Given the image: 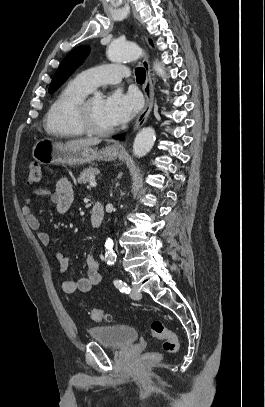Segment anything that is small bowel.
I'll use <instances>...</instances> for the list:
<instances>
[{
  "mask_svg": "<svg viewBox=\"0 0 265 407\" xmlns=\"http://www.w3.org/2000/svg\"><path fill=\"white\" fill-rule=\"evenodd\" d=\"M49 198L55 205L59 214H66L73 202V189L70 180L66 177L60 178L53 191L46 188H39L31 192L26 198L25 204L22 208L23 215L26 223L30 229L36 232L39 241L43 245H50L52 237L50 234L42 229L41 223L38 218L33 214L31 204L40 198ZM54 258L58 263L59 273L65 275L68 270L70 258L64 254L63 251H56ZM87 270L86 277L79 280H72L64 278L61 282L62 290L65 293H88L93 287L101 283L102 275L100 272L99 263L96 258L89 254L86 259Z\"/></svg>",
  "mask_w": 265,
  "mask_h": 407,
  "instance_id": "obj_1",
  "label": "small bowel"
}]
</instances>
